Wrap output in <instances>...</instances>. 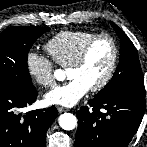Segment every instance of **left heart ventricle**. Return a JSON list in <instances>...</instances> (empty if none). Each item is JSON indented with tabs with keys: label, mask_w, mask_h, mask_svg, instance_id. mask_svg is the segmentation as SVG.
Segmentation results:
<instances>
[{
	"label": "left heart ventricle",
	"mask_w": 147,
	"mask_h": 147,
	"mask_svg": "<svg viewBox=\"0 0 147 147\" xmlns=\"http://www.w3.org/2000/svg\"><path fill=\"white\" fill-rule=\"evenodd\" d=\"M112 45L107 39L98 40L91 48L86 61L79 68L67 70L68 79H80L90 88L105 76L112 60Z\"/></svg>",
	"instance_id": "b2bd125f"
}]
</instances>
